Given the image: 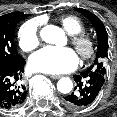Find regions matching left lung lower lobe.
I'll use <instances>...</instances> for the list:
<instances>
[{
  "mask_svg": "<svg viewBox=\"0 0 117 117\" xmlns=\"http://www.w3.org/2000/svg\"><path fill=\"white\" fill-rule=\"evenodd\" d=\"M74 80L77 86L74 88V92L64 97V103L69 107H86L97 99L103 88L105 75L87 69L81 74L75 75Z\"/></svg>",
  "mask_w": 117,
  "mask_h": 117,
  "instance_id": "1",
  "label": "left lung lower lobe"
}]
</instances>
